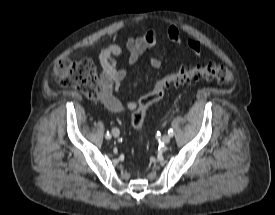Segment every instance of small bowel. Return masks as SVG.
I'll list each match as a JSON object with an SVG mask.
<instances>
[{
	"label": "small bowel",
	"mask_w": 275,
	"mask_h": 215,
	"mask_svg": "<svg viewBox=\"0 0 275 215\" xmlns=\"http://www.w3.org/2000/svg\"><path fill=\"white\" fill-rule=\"evenodd\" d=\"M168 37L170 41L176 45L182 43L179 30L174 25L168 28ZM185 43L192 54L196 56L201 55L202 46L199 41L188 38ZM155 45L156 30L154 28L148 29L142 35L128 36L126 39V47L129 52L128 64L130 66L135 65L146 51L153 48ZM122 55V48L115 42L109 43L98 55L99 63L102 68L101 82L104 92L103 103L114 113H120L123 110V104L114 95V91L120 90L122 82L127 75V70L119 67L116 62V59L120 58ZM149 63L153 69L157 70L161 67V60L156 56H150ZM125 105L129 110H134L137 107V103L132 100L127 101Z\"/></svg>",
	"instance_id": "obj_1"
}]
</instances>
